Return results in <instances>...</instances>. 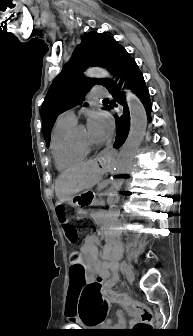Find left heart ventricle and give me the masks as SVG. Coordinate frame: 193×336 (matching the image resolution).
Segmentation results:
<instances>
[{
    "mask_svg": "<svg viewBox=\"0 0 193 336\" xmlns=\"http://www.w3.org/2000/svg\"><path fill=\"white\" fill-rule=\"evenodd\" d=\"M78 141H82V142H88V143H93L95 144V142L92 140V138L90 137L87 129H83L79 132L77 139Z\"/></svg>",
    "mask_w": 193,
    "mask_h": 336,
    "instance_id": "obj_1",
    "label": "left heart ventricle"
}]
</instances>
